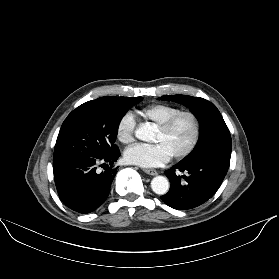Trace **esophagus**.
Wrapping results in <instances>:
<instances>
[{"label":"esophagus","mask_w":279,"mask_h":279,"mask_svg":"<svg viewBox=\"0 0 279 279\" xmlns=\"http://www.w3.org/2000/svg\"><path fill=\"white\" fill-rule=\"evenodd\" d=\"M143 171L146 173V174H149V175H157L158 174V172L156 171V170H154V169H143Z\"/></svg>","instance_id":"34e87169"}]
</instances>
